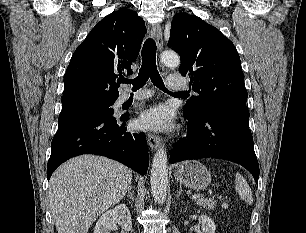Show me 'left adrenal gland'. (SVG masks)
<instances>
[{"mask_svg": "<svg viewBox=\"0 0 306 233\" xmlns=\"http://www.w3.org/2000/svg\"><path fill=\"white\" fill-rule=\"evenodd\" d=\"M182 194V187L180 186L179 191L176 194V197L178 198Z\"/></svg>", "mask_w": 306, "mask_h": 233, "instance_id": "a2214340", "label": "left adrenal gland"}]
</instances>
